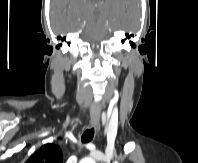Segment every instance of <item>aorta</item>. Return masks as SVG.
<instances>
[{
    "label": "aorta",
    "instance_id": "1",
    "mask_svg": "<svg viewBox=\"0 0 198 163\" xmlns=\"http://www.w3.org/2000/svg\"><path fill=\"white\" fill-rule=\"evenodd\" d=\"M79 163H96L94 159L86 157L83 158Z\"/></svg>",
    "mask_w": 198,
    "mask_h": 163
}]
</instances>
